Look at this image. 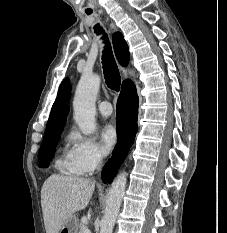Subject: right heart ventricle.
<instances>
[{"instance_id":"1","label":"right heart ventricle","mask_w":227,"mask_h":233,"mask_svg":"<svg viewBox=\"0 0 227 233\" xmlns=\"http://www.w3.org/2000/svg\"><path fill=\"white\" fill-rule=\"evenodd\" d=\"M57 165L62 168V169H65L67 170L68 172L72 173V174H77L76 172H74L71 168V164H70V160H69V157H68V154L63 156L61 159H59L57 161Z\"/></svg>"}]
</instances>
